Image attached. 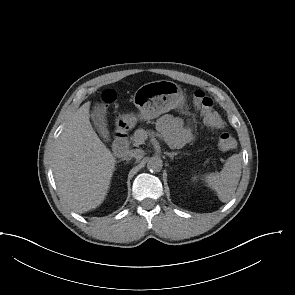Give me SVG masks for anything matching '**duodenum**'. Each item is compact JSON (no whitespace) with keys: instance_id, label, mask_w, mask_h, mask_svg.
I'll use <instances>...</instances> for the list:
<instances>
[{"instance_id":"obj_1","label":"duodenum","mask_w":295,"mask_h":295,"mask_svg":"<svg viewBox=\"0 0 295 295\" xmlns=\"http://www.w3.org/2000/svg\"><path fill=\"white\" fill-rule=\"evenodd\" d=\"M129 147V139L126 130L117 128L113 140V152L118 157H123L127 154Z\"/></svg>"}]
</instances>
